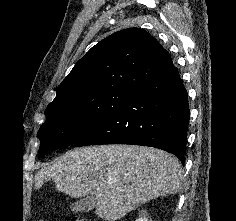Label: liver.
Listing matches in <instances>:
<instances>
[{"label":"liver","instance_id":"1","mask_svg":"<svg viewBox=\"0 0 236 221\" xmlns=\"http://www.w3.org/2000/svg\"><path fill=\"white\" fill-rule=\"evenodd\" d=\"M35 188L48 180L73 198L93 195L95 213L117 221L141 204L178 193L183 186L179 160L160 149L134 145L75 148L35 174Z\"/></svg>","mask_w":236,"mask_h":221}]
</instances>
